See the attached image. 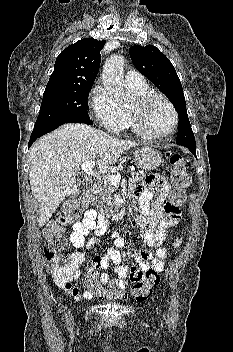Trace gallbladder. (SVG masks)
<instances>
[{
  "label": "gallbladder",
  "mask_w": 233,
  "mask_h": 352,
  "mask_svg": "<svg viewBox=\"0 0 233 352\" xmlns=\"http://www.w3.org/2000/svg\"><path fill=\"white\" fill-rule=\"evenodd\" d=\"M80 183L83 185V187L89 185V184H86L85 181H81ZM79 189H80V188H79Z\"/></svg>",
  "instance_id": "bac80fb5"
}]
</instances>
